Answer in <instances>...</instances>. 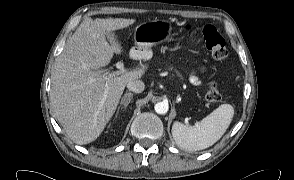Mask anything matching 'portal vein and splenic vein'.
Wrapping results in <instances>:
<instances>
[{"mask_svg": "<svg viewBox=\"0 0 294 180\" xmlns=\"http://www.w3.org/2000/svg\"><path fill=\"white\" fill-rule=\"evenodd\" d=\"M116 68L118 69L117 71L108 73L105 78L118 76V75L123 74V73L126 72V70L124 69V64L122 62H117L116 63Z\"/></svg>", "mask_w": 294, "mask_h": 180, "instance_id": "18ae733b", "label": "portal vein and splenic vein"}]
</instances>
